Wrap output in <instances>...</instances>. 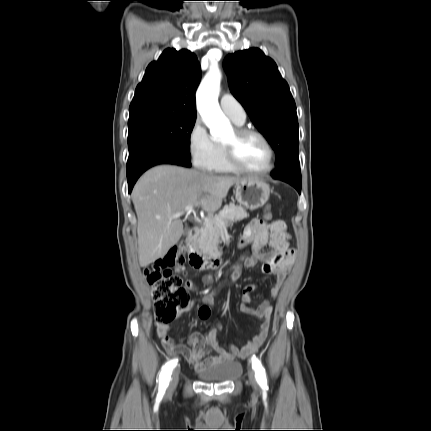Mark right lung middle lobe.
Wrapping results in <instances>:
<instances>
[{
	"mask_svg": "<svg viewBox=\"0 0 431 431\" xmlns=\"http://www.w3.org/2000/svg\"><path fill=\"white\" fill-rule=\"evenodd\" d=\"M196 116L150 113L128 120L129 154L148 144H163L190 159V134Z\"/></svg>",
	"mask_w": 431,
	"mask_h": 431,
	"instance_id": "obj_1",
	"label": "right lung middle lobe"
}]
</instances>
